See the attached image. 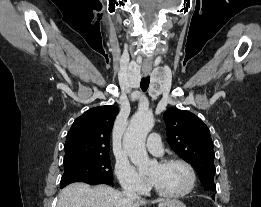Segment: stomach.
I'll return each mask as SVG.
<instances>
[{"label": "stomach", "instance_id": "1", "mask_svg": "<svg viewBox=\"0 0 261 207\" xmlns=\"http://www.w3.org/2000/svg\"><path fill=\"white\" fill-rule=\"evenodd\" d=\"M158 207H186L183 202L176 199H166L159 203Z\"/></svg>", "mask_w": 261, "mask_h": 207}]
</instances>
